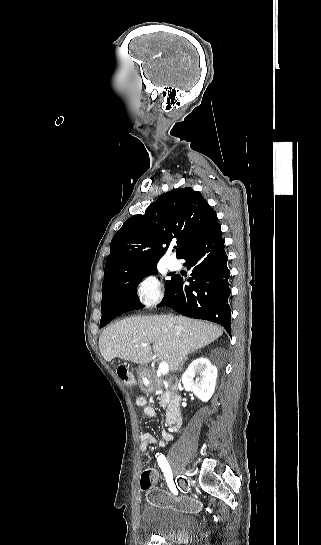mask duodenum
<instances>
[{
	"label": "duodenum",
	"mask_w": 321,
	"mask_h": 545,
	"mask_svg": "<svg viewBox=\"0 0 321 545\" xmlns=\"http://www.w3.org/2000/svg\"><path fill=\"white\" fill-rule=\"evenodd\" d=\"M182 422L181 399L178 396H172L167 410L166 424L169 431H176Z\"/></svg>",
	"instance_id": "410a0bca"
}]
</instances>
